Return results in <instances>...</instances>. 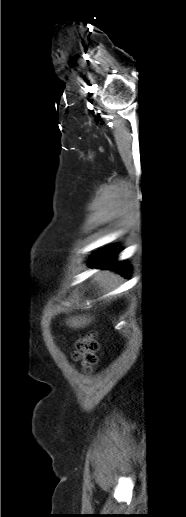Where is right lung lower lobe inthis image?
<instances>
[{
  "instance_id": "1",
  "label": "right lung lower lobe",
  "mask_w": 186,
  "mask_h": 517,
  "mask_svg": "<svg viewBox=\"0 0 186 517\" xmlns=\"http://www.w3.org/2000/svg\"><path fill=\"white\" fill-rule=\"evenodd\" d=\"M120 252V249H117L116 246H109L105 249H102L96 252L88 261V266L93 267H105L112 268L116 270L118 273L123 275L124 277H128L129 269L127 265L115 262L116 255Z\"/></svg>"
}]
</instances>
